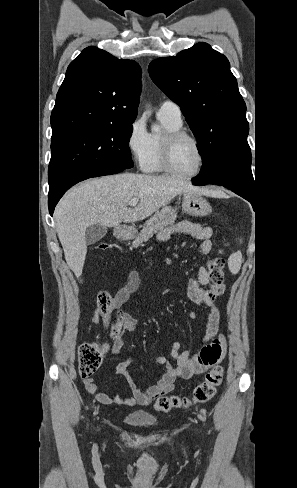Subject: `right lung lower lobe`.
<instances>
[{
	"instance_id": "98d812e1",
	"label": "right lung lower lobe",
	"mask_w": 297,
	"mask_h": 488,
	"mask_svg": "<svg viewBox=\"0 0 297 488\" xmlns=\"http://www.w3.org/2000/svg\"><path fill=\"white\" fill-rule=\"evenodd\" d=\"M125 170L124 168H112V169H102V170H97V171H93V172H89L75 180H73L72 182L68 183L62 190H60L58 193H56L55 195L49 197L48 199V206H49V213L50 215L52 216L53 215V212H54V208L56 206V204L58 203L59 199L63 196V194L73 185H75L76 183L80 182V181H83L85 179H88V178H92V177H98V176H104V175H110V174H115V173H119L121 171Z\"/></svg>"
}]
</instances>
